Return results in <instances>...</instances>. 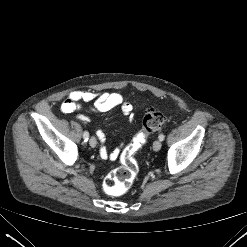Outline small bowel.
Segmentation results:
<instances>
[{
  "mask_svg": "<svg viewBox=\"0 0 247 247\" xmlns=\"http://www.w3.org/2000/svg\"><path fill=\"white\" fill-rule=\"evenodd\" d=\"M92 102L91 110L97 113H105L116 107H120L124 115H129L133 111V106L130 103L124 102L123 97L118 92H94L91 90H76L71 92L66 100L61 104L60 109L64 113H71L79 110L83 103ZM77 118L88 123L90 117L84 114L77 115ZM96 135L99 141L105 142V134L102 130L97 129ZM100 156L103 159L115 160L120 153V146L116 147L112 152H108L105 146L100 148Z\"/></svg>",
  "mask_w": 247,
  "mask_h": 247,
  "instance_id": "1",
  "label": "small bowel"
}]
</instances>
